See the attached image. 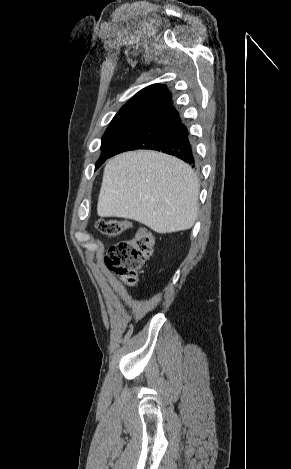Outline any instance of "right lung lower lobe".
<instances>
[{
	"mask_svg": "<svg viewBox=\"0 0 291 469\" xmlns=\"http://www.w3.org/2000/svg\"><path fill=\"white\" fill-rule=\"evenodd\" d=\"M134 149L162 151L180 158L192 167L197 163L188 129L172 105L148 119L124 139L108 158Z\"/></svg>",
	"mask_w": 291,
	"mask_h": 469,
	"instance_id": "1",
	"label": "right lung lower lobe"
}]
</instances>
